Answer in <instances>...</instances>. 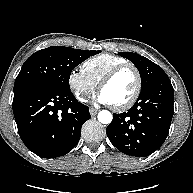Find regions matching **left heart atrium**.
Returning a JSON list of instances; mask_svg holds the SVG:
<instances>
[{
  "mask_svg": "<svg viewBox=\"0 0 193 193\" xmlns=\"http://www.w3.org/2000/svg\"><path fill=\"white\" fill-rule=\"evenodd\" d=\"M96 101L98 103H101V104L111 105L110 101L108 100V98L103 93H100L97 96Z\"/></svg>",
  "mask_w": 193,
  "mask_h": 193,
  "instance_id": "1",
  "label": "left heart atrium"
}]
</instances>
